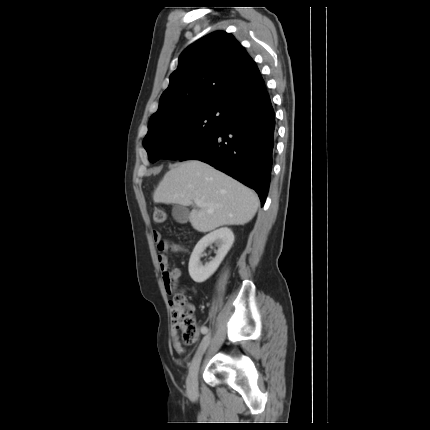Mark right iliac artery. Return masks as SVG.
Returning <instances> with one entry per match:
<instances>
[{"instance_id":"right-iliac-artery-1","label":"right iliac artery","mask_w":430,"mask_h":430,"mask_svg":"<svg viewBox=\"0 0 430 430\" xmlns=\"http://www.w3.org/2000/svg\"><path fill=\"white\" fill-rule=\"evenodd\" d=\"M207 331L206 330H201V335H206ZM208 335V334H207Z\"/></svg>"}]
</instances>
